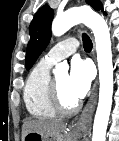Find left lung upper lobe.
<instances>
[{
    "instance_id": "1",
    "label": "left lung upper lobe",
    "mask_w": 119,
    "mask_h": 141,
    "mask_svg": "<svg viewBox=\"0 0 119 141\" xmlns=\"http://www.w3.org/2000/svg\"><path fill=\"white\" fill-rule=\"evenodd\" d=\"M95 10H101L102 4L99 0H86ZM54 12L48 6H42L35 14L29 28L30 41L27 46L25 64L30 69L42 51L47 47L51 38V23Z\"/></svg>"
}]
</instances>
